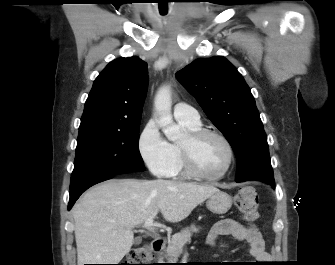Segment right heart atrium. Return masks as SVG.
I'll list each match as a JSON object with an SVG mask.
<instances>
[{"mask_svg": "<svg viewBox=\"0 0 335 265\" xmlns=\"http://www.w3.org/2000/svg\"><path fill=\"white\" fill-rule=\"evenodd\" d=\"M139 154L155 176H166L174 163V152L155 120L150 119L144 125L138 138Z\"/></svg>", "mask_w": 335, "mask_h": 265, "instance_id": "obj_1", "label": "right heart atrium"}]
</instances>
